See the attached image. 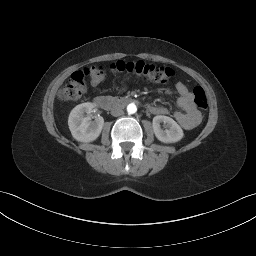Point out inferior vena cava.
Segmentation results:
<instances>
[{
  "label": "inferior vena cava",
  "instance_id": "inferior-vena-cava-1",
  "mask_svg": "<svg viewBox=\"0 0 256 256\" xmlns=\"http://www.w3.org/2000/svg\"><path fill=\"white\" fill-rule=\"evenodd\" d=\"M124 114V111L120 107H115L111 110V115L114 117H118Z\"/></svg>",
  "mask_w": 256,
  "mask_h": 256
}]
</instances>
